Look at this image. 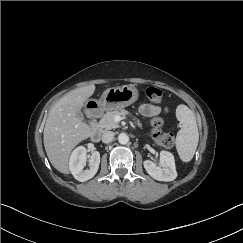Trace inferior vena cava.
Listing matches in <instances>:
<instances>
[{"instance_id":"1","label":"inferior vena cava","mask_w":243,"mask_h":243,"mask_svg":"<svg viewBox=\"0 0 243 243\" xmlns=\"http://www.w3.org/2000/svg\"><path fill=\"white\" fill-rule=\"evenodd\" d=\"M113 139H114V132H112V131H105L102 134L103 143H110Z\"/></svg>"}]
</instances>
